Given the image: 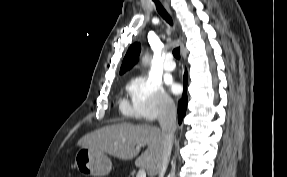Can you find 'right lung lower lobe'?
<instances>
[{"label":"right lung lower lobe","mask_w":287,"mask_h":177,"mask_svg":"<svg viewBox=\"0 0 287 177\" xmlns=\"http://www.w3.org/2000/svg\"><path fill=\"white\" fill-rule=\"evenodd\" d=\"M186 88H187V70H185V74H184V91H183L182 99L179 101V104H178V122H179V124L182 122V118L186 114V107H187Z\"/></svg>","instance_id":"1"}]
</instances>
